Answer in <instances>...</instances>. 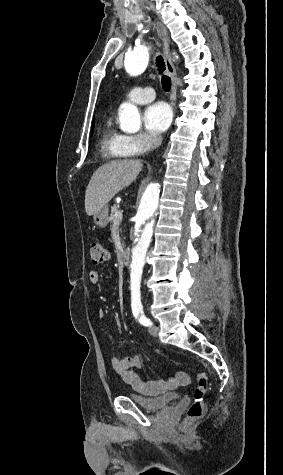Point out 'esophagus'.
<instances>
[{"label": "esophagus", "instance_id": "esophagus-1", "mask_svg": "<svg viewBox=\"0 0 283 475\" xmlns=\"http://www.w3.org/2000/svg\"><path fill=\"white\" fill-rule=\"evenodd\" d=\"M157 26V33L162 41V46H163V56L165 60V65H166V70L168 75L171 77L172 80V105H175V99H176V93H177V75H176V69L175 66L171 60L170 56V50H169V37L167 34V30L162 25L161 22L157 21L156 22Z\"/></svg>", "mask_w": 283, "mask_h": 475}]
</instances>
